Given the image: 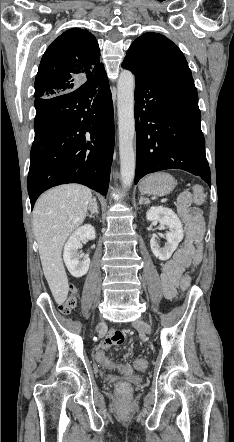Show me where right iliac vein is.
I'll return each instance as SVG.
<instances>
[{
	"instance_id": "63e3f726",
	"label": "right iliac vein",
	"mask_w": 234,
	"mask_h": 442,
	"mask_svg": "<svg viewBox=\"0 0 234 442\" xmlns=\"http://www.w3.org/2000/svg\"><path fill=\"white\" fill-rule=\"evenodd\" d=\"M103 326H104V323H100V324L98 325L97 329H100V328H102Z\"/></svg>"
}]
</instances>
